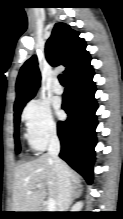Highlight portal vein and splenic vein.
<instances>
[{"label": "portal vein and splenic vein", "instance_id": "obj_1", "mask_svg": "<svg viewBox=\"0 0 123 219\" xmlns=\"http://www.w3.org/2000/svg\"><path fill=\"white\" fill-rule=\"evenodd\" d=\"M38 188L41 187V185H37ZM31 191H27V194H31ZM56 208V201L53 198H49L48 202H47V209L48 211H54Z\"/></svg>", "mask_w": 123, "mask_h": 219}]
</instances>
